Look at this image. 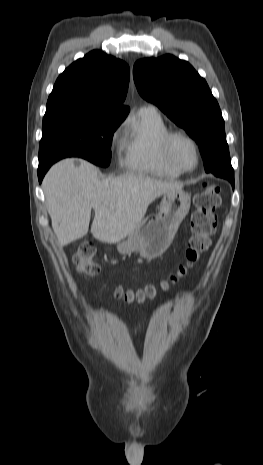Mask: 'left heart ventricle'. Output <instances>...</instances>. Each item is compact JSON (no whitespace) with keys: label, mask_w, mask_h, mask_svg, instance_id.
Returning a JSON list of instances; mask_svg holds the SVG:
<instances>
[{"label":"left heart ventricle","mask_w":263,"mask_h":465,"mask_svg":"<svg viewBox=\"0 0 263 465\" xmlns=\"http://www.w3.org/2000/svg\"><path fill=\"white\" fill-rule=\"evenodd\" d=\"M172 153L176 162L184 168H191L195 164L194 149L185 139L178 138L174 141Z\"/></svg>","instance_id":"b2bd125f"}]
</instances>
